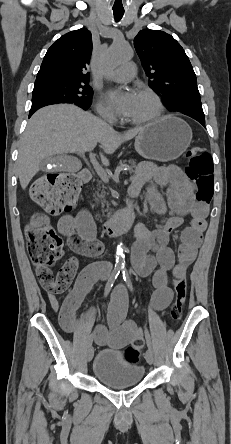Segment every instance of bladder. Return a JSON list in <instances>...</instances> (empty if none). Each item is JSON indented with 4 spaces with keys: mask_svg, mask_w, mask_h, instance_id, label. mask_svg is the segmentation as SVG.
<instances>
[{
    "mask_svg": "<svg viewBox=\"0 0 231 444\" xmlns=\"http://www.w3.org/2000/svg\"><path fill=\"white\" fill-rule=\"evenodd\" d=\"M144 372V367L137 360L115 350H100L92 364L93 376L104 385L115 389L138 385Z\"/></svg>",
    "mask_w": 231,
    "mask_h": 444,
    "instance_id": "1",
    "label": "bladder"
}]
</instances>
